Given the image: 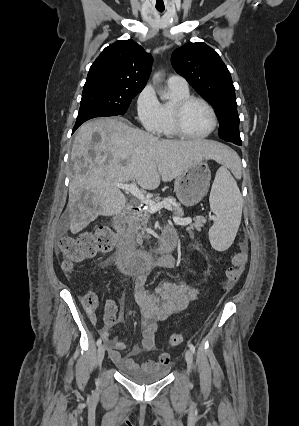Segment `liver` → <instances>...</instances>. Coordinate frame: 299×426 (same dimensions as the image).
<instances>
[{"label":"liver","mask_w":299,"mask_h":426,"mask_svg":"<svg viewBox=\"0 0 299 426\" xmlns=\"http://www.w3.org/2000/svg\"><path fill=\"white\" fill-rule=\"evenodd\" d=\"M233 155L216 141L159 139L115 118L89 121L79 128L71 150L70 230L78 233L99 215L114 216L124 209L126 198L114 182L136 180L141 188L154 190L161 180L176 179L204 159L227 163Z\"/></svg>","instance_id":"liver-1"}]
</instances>
